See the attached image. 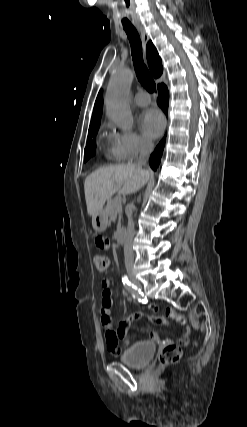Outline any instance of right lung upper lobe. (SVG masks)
Here are the masks:
<instances>
[{
    "label": "right lung upper lobe",
    "mask_w": 247,
    "mask_h": 427,
    "mask_svg": "<svg viewBox=\"0 0 247 427\" xmlns=\"http://www.w3.org/2000/svg\"><path fill=\"white\" fill-rule=\"evenodd\" d=\"M146 56L149 64V68L155 78L161 76L163 72L162 61L158 55V52L151 41L148 42L146 47ZM102 90L99 92L93 110V115L90 123V128L100 125L101 115H102Z\"/></svg>",
    "instance_id": "cb5924a9"
}]
</instances>
